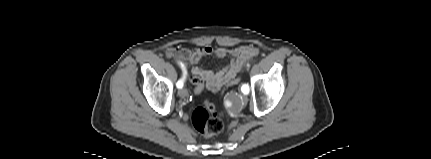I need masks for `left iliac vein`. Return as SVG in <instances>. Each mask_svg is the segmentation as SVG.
Returning a JSON list of instances; mask_svg holds the SVG:
<instances>
[{
  "instance_id": "left-iliac-vein-1",
  "label": "left iliac vein",
  "mask_w": 431,
  "mask_h": 159,
  "mask_svg": "<svg viewBox=\"0 0 431 159\" xmlns=\"http://www.w3.org/2000/svg\"><path fill=\"white\" fill-rule=\"evenodd\" d=\"M247 101H248L247 96H246V95H242V96H241V102H242L243 104H246V103H247Z\"/></svg>"
}]
</instances>
